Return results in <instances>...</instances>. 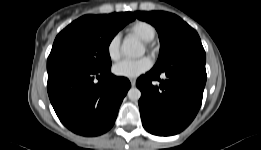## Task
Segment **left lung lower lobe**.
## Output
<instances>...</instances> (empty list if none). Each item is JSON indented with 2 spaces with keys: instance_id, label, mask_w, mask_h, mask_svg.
Wrapping results in <instances>:
<instances>
[{
  "instance_id": "obj_1",
  "label": "left lung lower lobe",
  "mask_w": 261,
  "mask_h": 150,
  "mask_svg": "<svg viewBox=\"0 0 261 150\" xmlns=\"http://www.w3.org/2000/svg\"><path fill=\"white\" fill-rule=\"evenodd\" d=\"M205 62L204 48L196 44L137 79L142 124L148 132L157 136L175 135L193 121L202 103L207 78ZM161 74L167 78L160 79Z\"/></svg>"
}]
</instances>
